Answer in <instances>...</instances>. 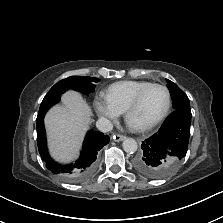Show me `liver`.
<instances>
[{
	"label": "liver",
	"mask_w": 223,
	"mask_h": 223,
	"mask_svg": "<svg viewBox=\"0 0 223 223\" xmlns=\"http://www.w3.org/2000/svg\"><path fill=\"white\" fill-rule=\"evenodd\" d=\"M62 101L63 106H55L47 113L45 127L51 155L68 162L78 156L92 111L78 92H66Z\"/></svg>",
	"instance_id": "6515ba94"
}]
</instances>
